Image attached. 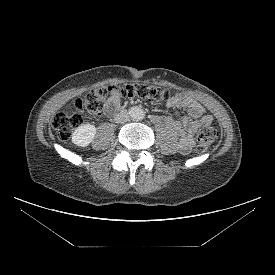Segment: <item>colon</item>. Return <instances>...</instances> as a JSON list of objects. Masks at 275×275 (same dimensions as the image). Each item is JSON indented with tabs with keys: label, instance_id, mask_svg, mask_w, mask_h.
Instances as JSON below:
<instances>
[{
	"label": "colon",
	"instance_id": "1",
	"mask_svg": "<svg viewBox=\"0 0 275 275\" xmlns=\"http://www.w3.org/2000/svg\"><path fill=\"white\" fill-rule=\"evenodd\" d=\"M114 95L121 99L147 100L152 103H159L170 99L169 92L164 88L144 84H130L123 87L109 86L96 88L77 99L75 108L80 112L86 110L92 114L100 115L104 111L106 100ZM82 123L83 117L79 113H59L52 120V126L56 130L58 137L62 140L69 139L72 132L81 126ZM217 136L216 130L211 127L210 123L202 121L197 134L196 152L198 154L207 152Z\"/></svg>",
	"mask_w": 275,
	"mask_h": 275
}]
</instances>
